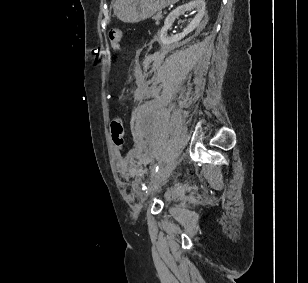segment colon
Wrapping results in <instances>:
<instances>
[{
	"label": "colon",
	"instance_id": "1",
	"mask_svg": "<svg viewBox=\"0 0 308 283\" xmlns=\"http://www.w3.org/2000/svg\"><path fill=\"white\" fill-rule=\"evenodd\" d=\"M123 33L118 28H112L108 32V38L112 48L116 51L120 49ZM110 133L114 145L122 149L125 143V127L120 117L114 118L110 123Z\"/></svg>",
	"mask_w": 308,
	"mask_h": 283
}]
</instances>
